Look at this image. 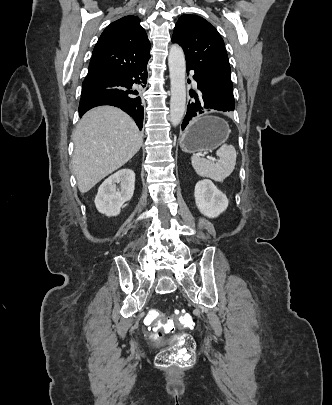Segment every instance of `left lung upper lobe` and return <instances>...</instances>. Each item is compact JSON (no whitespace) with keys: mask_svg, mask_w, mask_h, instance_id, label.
I'll list each match as a JSON object with an SVG mask.
<instances>
[{"mask_svg":"<svg viewBox=\"0 0 332 405\" xmlns=\"http://www.w3.org/2000/svg\"><path fill=\"white\" fill-rule=\"evenodd\" d=\"M172 42L183 48L186 66L201 76L215 103L234 110L230 65L218 31L202 17L182 15L174 28Z\"/></svg>","mask_w":332,"mask_h":405,"instance_id":"5c2ea615","label":"left lung upper lobe"}]
</instances>
